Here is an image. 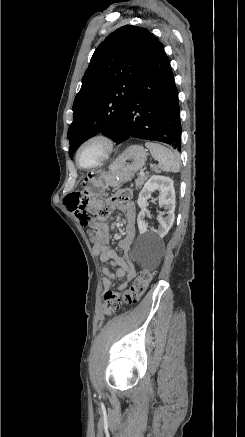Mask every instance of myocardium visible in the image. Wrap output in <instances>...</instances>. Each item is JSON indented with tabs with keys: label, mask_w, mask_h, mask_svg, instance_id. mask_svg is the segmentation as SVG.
I'll list each match as a JSON object with an SVG mask.
<instances>
[{
	"label": "myocardium",
	"mask_w": 245,
	"mask_h": 437,
	"mask_svg": "<svg viewBox=\"0 0 245 437\" xmlns=\"http://www.w3.org/2000/svg\"><path fill=\"white\" fill-rule=\"evenodd\" d=\"M94 142L100 143L103 146V148H104L103 155L96 163L89 165V166H83L80 163V153L86 145H88L90 143H94ZM114 149H115V141L111 136H109L106 133H102V132L95 133V134H92V135L88 136L87 138H85L79 144V146L77 147L76 152H75V161H76L78 167H80L83 170L95 169V168L102 166L104 163H106L111 158V156L114 152Z\"/></svg>",
	"instance_id": "1"
}]
</instances>
